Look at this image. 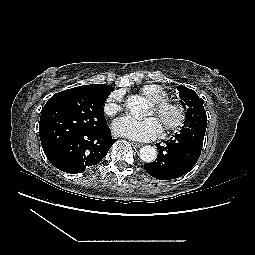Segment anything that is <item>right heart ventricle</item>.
Wrapping results in <instances>:
<instances>
[{
	"label": "right heart ventricle",
	"mask_w": 255,
	"mask_h": 255,
	"mask_svg": "<svg viewBox=\"0 0 255 255\" xmlns=\"http://www.w3.org/2000/svg\"><path fill=\"white\" fill-rule=\"evenodd\" d=\"M140 93L147 100L156 103L168 98L167 91L159 85L148 84L144 85L140 89Z\"/></svg>",
	"instance_id": "obj_1"
}]
</instances>
